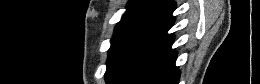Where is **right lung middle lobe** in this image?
Instances as JSON below:
<instances>
[{"label":"right lung middle lobe","instance_id":"dd1d6c3e","mask_svg":"<svg viewBox=\"0 0 260 84\" xmlns=\"http://www.w3.org/2000/svg\"><path fill=\"white\" fill-rule=\"evenodd\" d=\"M169 28L134 27L115 34L105 78L109 84H132L169 46Z\"/></svg>","mask_w":260,"mask_h":84}]
</instances>
